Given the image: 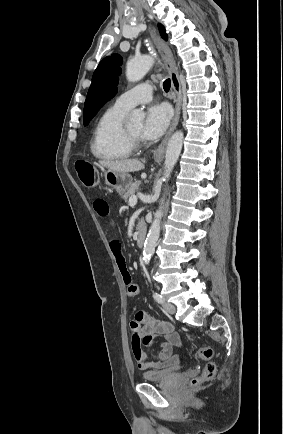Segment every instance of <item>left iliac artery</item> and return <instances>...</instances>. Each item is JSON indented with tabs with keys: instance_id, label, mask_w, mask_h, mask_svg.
<instances>
[{
	"instance_id": "left-iliac-artery-1",
	"label": "left iliac artery",
	"mask_w": 283,
	"mask_h": 434,
	"mask_svg": "<svg viewBox=\"0 0 283 434\" xmlns=\"http://www.w3.org/2000/svg\"><path fill=\"white\" fill-rule=\"evenodd\" d=\"M153 297H154L155 301H157L158 303L163 302V297L160 294L154 293Z\"/></svg>"
}]
</instances>
